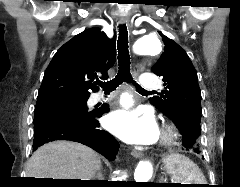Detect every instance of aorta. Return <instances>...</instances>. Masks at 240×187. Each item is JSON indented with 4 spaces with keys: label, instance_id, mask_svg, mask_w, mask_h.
I'll return each mask as SVG.
<instances>
[{
    "label": "aorta",
    "instance_id": "762f6f07",
    "mask_svg": "<svg viewBox=\"0 0 240 187\" xmlns=\"http://www.w3.org/2000/svg\"><path fill=\"white\" fill-rule=\"evenodd\" d=\"M134 51L138 55H157L162 51V45L156 35H144L137 39ZM121 104L128 108L133 104L132 97L125 93L122 95ZM153 173L152 164L148 161H140L135 169V182H148Z\"/></svg>",
    "mask_w": 240,
    "mask_h": 187
}]
</instances>
